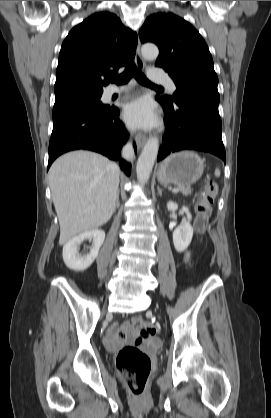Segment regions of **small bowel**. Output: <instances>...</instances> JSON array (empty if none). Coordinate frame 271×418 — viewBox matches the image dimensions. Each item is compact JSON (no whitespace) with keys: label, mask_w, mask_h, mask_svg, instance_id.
Instances as JSON below:
<instances>
[{"label":"small bowel","mask_w":271,"mask_h":418,"mask_svg":"<svg viewBox=\"0 0 271 418\" xmlns=\"http://www.w3.org/2000/svg\"><path fill=\"white\" fill-rule=\"evenodd\" d=\"M191 259L190 252L184 253V262L189 263ZM135 324L138 323V318H134L131 321L124 324L122 327L113 326L106 338L105 344L109 349H116L124 340L125 338L132 334L133 327ZM136 342L139 343L140 339H136ZM152 343H156V340H151Z\"/></svg>","instance_id":"obj_1"}]
</instances>
